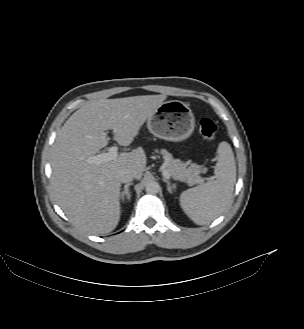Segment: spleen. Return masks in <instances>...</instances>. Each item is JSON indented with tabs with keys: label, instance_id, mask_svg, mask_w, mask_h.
I'll return each mask as SVG.
<instances>
[{
	"label": "spleen",
	"instance_id": "1",
	"mask_svg": "<svg viewBox=\"0 0 304 329\" xmlns=\"http://www.w3.org/2000/svg\"><path fill=\"white\" fill-rule=\"evenodd\" d=\"M214 174L208 182L180 194V206L197 225H205L220 216L232 199L236 182V163L229 143L221 142Z\"/></svg>",
	"mask_w": 304,
	"mask_h": 329
}]
</instances>
